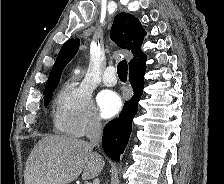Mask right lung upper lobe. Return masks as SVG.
Returning <instances> with one entry per match:
<instances>
[{"instance_id": "right-lung-upper-lobe-1", "label": "right lung upper lobe", "mask_w": 224, "mask_h": 184, "mask_svg": "<svg viewBox=\"0 0 224 184\" xmlns=\"http://www.w3.org/2000/svg\"><path fill=\"white\" fill-rule=\"evenodd\" d=\"M144 35H146V32L135 16L128 13H119L115 16L110 37L119 47L133 53L134 57L129 62V71L145 66L147 57L141 51ZM79 43L78 38L69 39L64 43L49 75L45 92L53 91L57 87L62 71L77 53Z\"/></svg>"}]
</instances>
